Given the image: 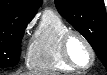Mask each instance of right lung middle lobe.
<instances>
[{"label": "right lung middle lobe", "instance_id": "1", "mask_svg": "<svg viewBox=\"0 0 107 75\" xmlns=\"http://www.w3.org/2000/svg\"><path fill=\"white\" fill-rule=\"evenodd\" d=\"M26 26L27 23H15L0 30V67H11L18 63L19 45Z\"/></svg>", "mask_w": 107, "mask_h": 75}]
</instances>
